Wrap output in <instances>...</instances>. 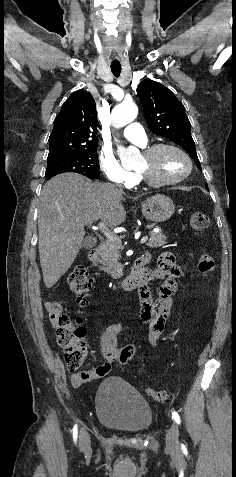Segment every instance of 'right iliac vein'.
<instances>
[{"label":"right iliac vein","mask_w":236,"mask_h":477,"mask_svg":"<svg viewBox=\"0 0 236 477\" xmlns=\"http://www.w3.org/2000/svg\"><path fill=\"white\" fill-rule=\"evenodd\" d=\"M90 445V438L88 433L82 429L80 432V446L82 449H88Z\"/></svg>","instance_id":"1"}]
</instances>
